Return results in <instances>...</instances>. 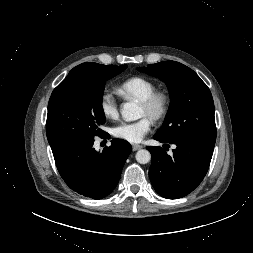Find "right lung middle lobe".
I'll return each instance as SVG.
<instances>
[{"mask_svg":"<svg viewBox=\"0 0 253 253\" xmlns=\"http://www.w3.org/2000/svg\"><path fill=\"white\" fill-rule=\"evenodd\" d=\"M128 66L109 65L99 70L64 79L52 92L46 122L51 148L102 136L105 122L102 108L104 86L108 79Z\"/></svg>","mask_w":253,"mask_h":253,"instance_id":"1","label":"right lung middle lobe"}]
</instances>
